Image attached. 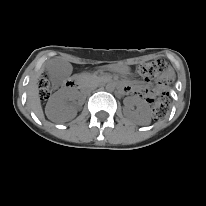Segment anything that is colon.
<instances>
[{"mask_svg": "<svg viewBox=\"0 0 206 206\" xmlns=\"http://www.w3.org/2000/svg\"><path fill=\"white\" fill-rule=\"evenodd\" d=\"M137 72L140 76L146 79H155L162 77L167 82L171 79L169 67L162 59H157L152 62L143 64L138 67ZM52 91L51 84L46 77H42L39 81V95L42 100L49 98ZM169 108V103L165 98L156 100L152 107L153 117L161 119L165 116Z\"/></svg>", "mask_w": 206, "mask_h": 206, "instance_id": "5ec220e1", "label": "colon"}]
</instances>
